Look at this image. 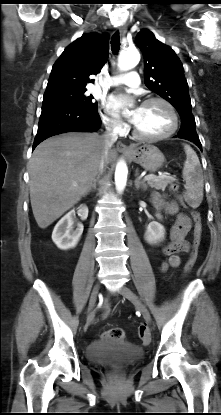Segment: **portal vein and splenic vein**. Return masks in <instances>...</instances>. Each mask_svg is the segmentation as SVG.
Segmentation results:
<instances>
[{
	"mask_svg": "<svg viewBox=\"0 0 221 415\" xmlns=\"http://www.w3.org/2000/svg\"><path fill=\"white\" fill-rule=\"evenodd\" d=\"M167 176V173H163V174H160L159 176H156V175H146L145 177H144V181H148V180H151V179H156V178H158V177H166ZM174 180H175V178H173ZM74 186H77L76 184H74Z\"/></svg>",
	"mask_w": 221,
	"mask_h": 415,
	"instance_id": "obj_1",
	"label": "portal vein and splenic vein"
}]
</instances>
